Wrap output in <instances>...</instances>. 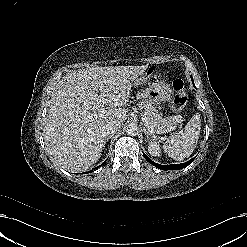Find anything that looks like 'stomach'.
<instances>
[{"mask_svg": "<svg viewBox=\"0 0 247 247\" xmlns=\"http://www.w3.org/2000/svg\"><path fill=\"white\" fill-rule=\"evenodd\" d=\"M144 77L141 75L139 79L134 82V86L137 87L144 83ZM173 90L165 82H155L145 88L139 95L138 98L147 103H161L172 100Z\"/></svg>", "mask_w": 247, "mask_h": 247, "instance_id": "1", "label": "stomach"}]
</instances>
